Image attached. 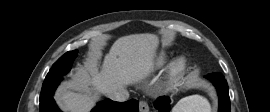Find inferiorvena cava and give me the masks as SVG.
Masks as SVG:
<instances>
[{
	"instance_id": "602c4592",
	"label": "inferior vena cava",
	"mask_w": 270,
	"mask_h": 112,
	"mask_svg": "<svg viewBox=\"0 0 270 112\" xmlns=\"http://www.w3.org/2000/svg\"><path fill=\"white\" fill-rule=\"evenodd\" d=\"M108 97L114 101L124 102L129 97V92L126 89L110 93Z\"/></svg>"
}]
</instances>
